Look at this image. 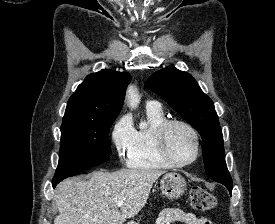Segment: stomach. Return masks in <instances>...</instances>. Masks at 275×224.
Masks as SVG:
<instances>
[{"instance_id":"0dacf381","label":"stomach","mask_w":275,"mask_h":224,"mask_svg":"<svg viewBox=\"0 0 275 224\" xmlns=\"http://www.w3.org/2000/svg\"><path fill=\"white\" fill-rule=\"evenodd\" d=\"M186 180L177 173H168L160 180V191L169 199H177L186 191ZM128 224H137L134 221Z\"/></svg>"}]
</instances>
